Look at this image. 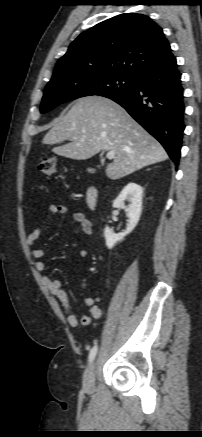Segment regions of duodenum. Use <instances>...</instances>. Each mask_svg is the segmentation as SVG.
Returning a JSON list of instances; mask_svg holds the SVG:
<instances>
[{"label": "duodenum", "instance_id": "1", "mask_svg": "<svg viewBox=\"0 0 202 437\" xmlns=\"http://www.w3.org/2000/svg\"><path fill=\"white\" fill-rule=\"evenodd\" d=\"M98 191L94 186L88 187L85 194L86 205L90 210H94L97 205Z\"/></svg>", "mask_w": 202, "mask_h": 437}]
</instances>
